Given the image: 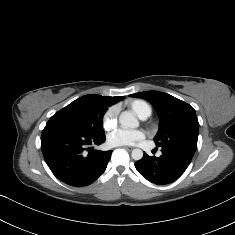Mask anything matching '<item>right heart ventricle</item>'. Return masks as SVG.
I'll list each match as a JSON object with an SVG mask.
<instances>
[{
	"mask_svg": "<svg viewBox=\"0 0 235 235\" xmlns=\"http://www.w3.org/2000/svg\"><path fill=\"white\" fill-rule=\"evenodd\" d=\"M131 107L138 116H141L146 111H149L151 114V107L149 106V104L142 100L134 101Z\"/></svg>",
	"mask_w": 235,
	"mask_h": 235,
	"instance_id": "right-heart-ventricle-1",
	"label": "right heart ventricle"
}]
</instances>
